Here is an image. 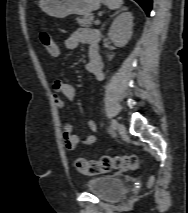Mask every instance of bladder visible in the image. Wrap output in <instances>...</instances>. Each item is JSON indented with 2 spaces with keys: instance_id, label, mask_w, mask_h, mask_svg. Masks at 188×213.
<instances>
[{
  "instance_id": "bladder-1",
  "label": "bladder",
  "mask_w": 188,
  "mask_h": 213,
  "mask_svg": "<svg viewBox=\"0 0 188 213\" xmlns=\"http://www.w3.org/2000/svg\"><path fill=\"white\" fill-rule=\"evenodd\" d=\"M84 188L103 200L114 201L124 193L125 183L116 176H99L88 179Z\"/></svg>"
}]
</instances>
